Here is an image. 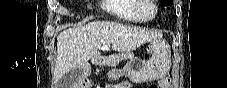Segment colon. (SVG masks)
Masks as SVG:
<instances>
[{
	"instance_id": "colon-1",
	"label": "colon",
	"mask_w": 227,
	"mask_h": 88,
	"mask_svg": "<svg viewBox=\"0 0 227 88\" xmlns=\"http://www.w3.org/2000/svg\"><path fill=\"white\" fill-rule=\"evenodd\" d=\"M150 88H163V85L161 84L152 85Z\"/></svg>"
}]
</instances>
